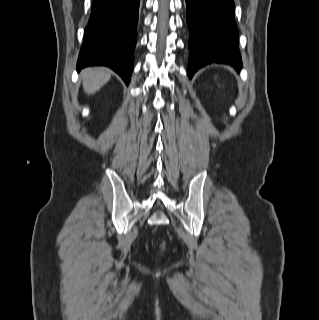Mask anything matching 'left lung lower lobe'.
Returning <instances> with one entry per match:
<instances>
[{
	"instance_id": "1",
	"label": "left lung lower lobe",
	"mask_w": 319,
	"mask_h": 320,
	"mask_svg": "<svg viewBox=\"0 0 319 320\" xmlns=\"http://www.w3.org/2000/svg\"><path fill=\"white\" fill-rule=\"evenodd\" d=\"M186 10L190 31L189 78L213 62H241L233 0H186Z\"/></svg>"
}]
</instances>
